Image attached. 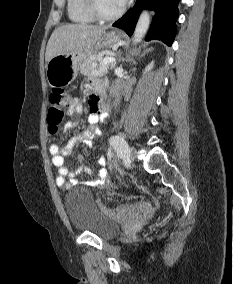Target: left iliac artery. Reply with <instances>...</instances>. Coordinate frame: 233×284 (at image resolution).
<instances>
[{"label":"left iliac artery","mask_w":233,"mask_h":284,"mask_svg":"<svg viewBox=\"0 0 233 284\" xmlns=\"http://www.w3.org/2000/svg\"><path fill=\"white\" fill-rule=\"evenodd\" d=\"M110 144L113 146L119 157H125L129 151L127 142L121 136H113L110 139Z\"/></svg>","instance_id":"1"}]
</instances>
